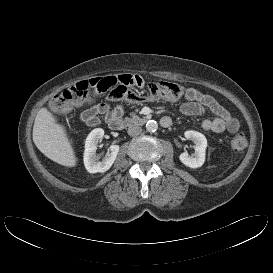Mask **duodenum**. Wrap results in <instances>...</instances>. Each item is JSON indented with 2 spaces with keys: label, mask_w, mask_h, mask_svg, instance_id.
<instances>
[{
  "label": "duodenum",
  "mask_w": 273,
  "mask_h": 273,
  "mask_svg": "<svg viewBox=\"0 0 273 273\" xmlns=\"http://www.w3.org/2000/svg\"><path fill=\"white\" fill-rule=\"evenodd\" d=\"M107 123L112 130L119 131L127 126H144L149 119L146 116H134L130 118H121L116 115H107ZM171 122L168 119H161L163 127H169Z\"/></svg>",
  "instance_id": "obj_1"
}]
</instances>
